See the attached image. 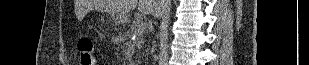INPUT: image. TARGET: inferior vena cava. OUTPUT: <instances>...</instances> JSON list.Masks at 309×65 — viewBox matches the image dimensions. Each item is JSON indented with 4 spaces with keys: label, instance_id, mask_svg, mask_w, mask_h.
Returning a JSON list of instances; mask_svg holds the SVG:
<instances>
[{
    "label": "inferior vena cava",
    "instance_id": "1",
    "mask_svg": "<svg viewBox=\"0 0 309 65\" xmlns=\"http://www.w3.org/2000/svg\"><path fill=\"white\" fill-rule=\"evenodd\" d=\"M163 2H165L164 0H162ZM167 7V2H165V8Z\"/></svg>",
    "mask_w": 309,
    "mask_h": 65
}]
</instances>
